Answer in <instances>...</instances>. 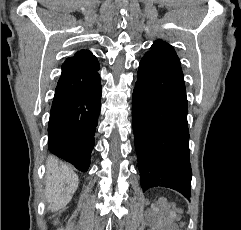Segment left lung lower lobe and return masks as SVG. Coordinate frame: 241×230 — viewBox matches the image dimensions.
<instances>
[{
	"instance_id": "left-lung-lower-lobe-1",
	"label": "left lung lower lobe",
	"mask_w": 241,
	"mask_h": 230,
	"mask_svg": "<svg viewBox=\"0 0 241 230\" xmlns=\"http://www.w3.org/2000/svg\"><path fill=\"white\" fill-rule=\"evenodd\" d=\"M188 105L181 66L145 54L133 91L132 119L141 186L190 197Z\"/></svg>"
}]
</instances>
